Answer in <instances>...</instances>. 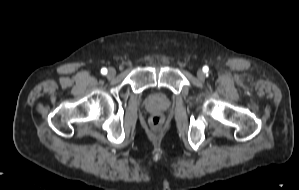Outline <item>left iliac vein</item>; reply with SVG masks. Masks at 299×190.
Returning a JSON list of instances; mask_svg holds the SVG:
<instances>
[{
    "label": "left iliac vein",
    "mask_w": 299,
    "mask_h": 190,
    "mask_svg": "<svg viewBox=\"0 0 299 190\" xmlns=\"http://www.w3.org/2000/svg\"><path fill=\"white\" fill-rule=\"evenodd\" d=\"M197 77H198V79H199L200 81H204L206 75H205L204 71H202V70H198V71H197Z\"/></svg>",
    "instance_id": "obj_1"
}]
</instances>
